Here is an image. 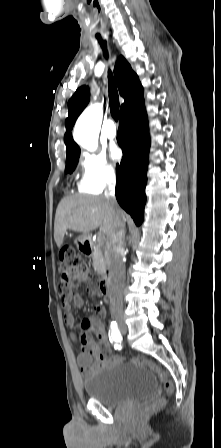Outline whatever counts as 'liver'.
<instances>
[{
	"instance_id": "6515ba94",
	"label": "liver",
	"mask_w": 221,
	"mask_h": 448,
	"mask_svg": "<svg viewBox=\"0 0 221 448\" xmlns=\"http://www.w3.org/2000/svg\"><path fill=\"white\" fill-rule=\"evenodd\" d=\"M118 214L125 222L126 214L120 209ZM116 225V213L105 197L68 196L60 201L56 210L54 239L60 248L67 230L86 234L100 227L103 235L110 241Z\"/></svg>"
}]
</instances>
